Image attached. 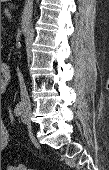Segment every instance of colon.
<instances>
[{
    "label": "colon",
    "instance_id": "1",
    "mask_svg": "<svg viewBox=\"0 0 109 170\" xmlns=\"http://www.w3.org/2000/svg\"><path fill=\"white\" fill-rule=\"evenodd\" d=\"M7 170H36V169L28 168L24 165H8Z\"/></svg>",
    "mask_w": 109,
    "mask_h": 170
}]
</instances>
